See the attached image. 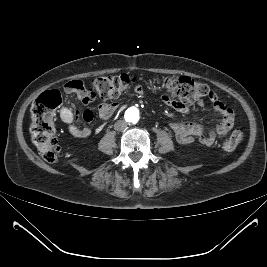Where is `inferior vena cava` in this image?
Masks as SVG:
<instances>
[{
    "label": "inferior vena cava",
    "instance_id": "1",
    "mask_svg": "<svg viewBox=\"0 0 267 267\" xmlns=\"http://www.w3.org/2000/svg\"><path fill=\"white\" fill-rule=\"evenodd\" d=\"M127 127V122L125 120H118L114 124V129L117 131L124 130Z\"/></svg>",
    "mask_w": 267,
    "mask_h": 267
}]
</instances>
